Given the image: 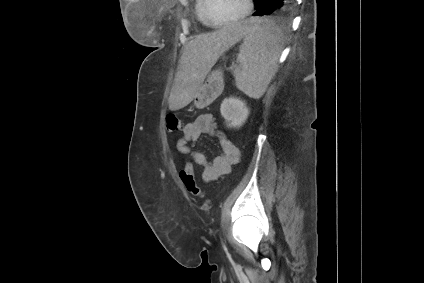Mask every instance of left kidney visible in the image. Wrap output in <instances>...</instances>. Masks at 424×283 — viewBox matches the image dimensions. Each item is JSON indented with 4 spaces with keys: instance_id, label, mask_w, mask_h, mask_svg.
<instances>
[{
    "instance_id": "left-kidney-1",
    "label": "left kidney",
    "mask_w": 424,
    "mask_h": 283,
    "mask_svg": "<svg viewBox=\"0 0 424 283\" xmlns=\"http://www.w3.org/2000/svg\"><path fill=\"white\" fill-rule=\"evenodd\" d=\"M220 112L227 123V127L230 128H240L246 122L250 113L245 101L234 97L224 99Z\"/></svg>"
}]
</instances>
